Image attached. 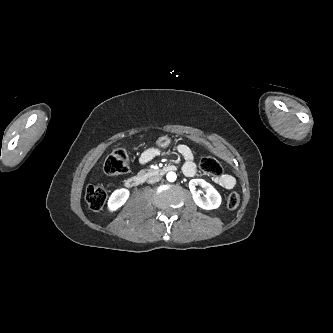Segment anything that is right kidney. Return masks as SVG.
I'll use <instances>...</instances> for the list:
<instances>
[{
    "mask_svg": "<svg viewBox=\"0 0 333 333\" xmlns=\"http://www.w3.org/2000/svg\"><path fill=\"white\" fill-rule=\"evenodd\" d=\"M128 197L129 190L125 188L115 190L108 200L109 211H115L120 208L127 201Z\"/></svg>",
    "mask_w": 333,
    "mask_h": 333,
    "instance_id": "ca27d5eb",
    "label": "right kidney"
}]
</instances>
